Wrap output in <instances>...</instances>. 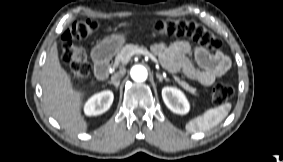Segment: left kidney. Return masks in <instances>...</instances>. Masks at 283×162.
Returning a JSON list of instances; mask_svg holds the SVG:
<instances>
[{
	"mask_svg": "<svg viewBox=\"0 0 283 162\" xmlns=\"http://www.w3.org/2000/svg\"><path fill=\"white\" fill-rule=\"evenodd\" d=\"M162 98L165 105L172 112L180 115H184L189 112V102L181 90L175 87L166 86L162 89Z\"/></svg>",
	"mask_w": 283,
	"mask_h": 162,
	"instance_id": "left-kidney-1",
	"label": "left kidney"
}]
</instances>
